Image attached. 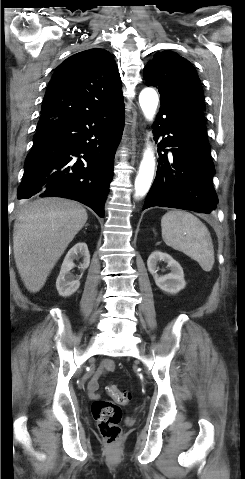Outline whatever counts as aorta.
I'll use <instances>...</instances> for the list:
<instances>
[{
    "instance_id": "aorta-1",
    "label": "aorta",
    "mask_w": 245,
    "mask_h": 479,
    "mask_svg": "<svg viewBox=\"0 0 245 479\" xmlns=\"http://www.w3.org/2000/svg\"><path fill=\"white\" fill-rule=\"evenodd\" d=\"M158 95L155 90L146 88L139 95V103L145 117L152 120L158 106ZM155 169V157L150 144L144 152L138 175L135 179V197H143L149 190Z\"/></svg>"
}]
</instances>
